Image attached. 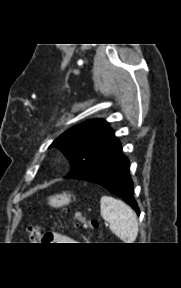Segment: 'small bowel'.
<instances>
[{"mask_svg": "<svg viewBox=\"0 0 181 288\" xmlns=\"http://www.w3.org/2000/svg\"><path fill=\"white\" fill-rule=\"evenodd\" d=\"M52 237H51V242L53 243H78L76 242L75 239H73L72 237L65 235V234H61V233H51Z\"/></svg>", "mask_w": 181, "mask_h": 288, "instance_id": "1", "label": "small bowel"}]
</instances>
